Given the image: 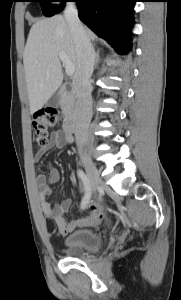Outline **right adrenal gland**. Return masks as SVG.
<instances>
[{
  "label": "right adrenal gland",
  "instance_id": "2a0ac1e0",
  "mask_svg": "<svg viewBox=\"0 0 181 300\" xmlns=\"http://www.w3.org/2000/svg\"><path fill=\"white\" fill-rule=\"evenodd\" d=\"M99 61H100V51L98 50L95 54V68L97 67Z\"/></svg>",
  "mask_w": 181,
  "mask_h": 300
}]
</instances>
